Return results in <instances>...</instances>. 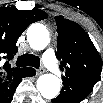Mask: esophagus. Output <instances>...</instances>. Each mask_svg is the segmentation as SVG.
<instances>
[{"label":"esophagus","mask_w":103,"mask_h":103,"mask_svg":"<svg viewBox=\"0 0 103 103\" xmlns=\"http://www.w3.org/2000/svg\"><path fill=\"white\" fill-rule=\"evenodd\" d=\"M44 68H39L36 70V75H41L42 73H44Z\"/></svg>","instance_id":"esophagus-1"}]
</instances>
